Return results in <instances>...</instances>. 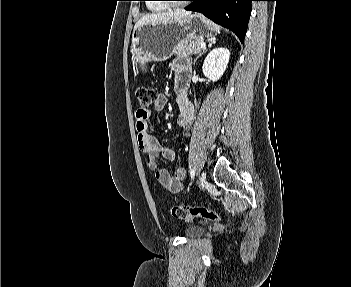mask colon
Returning a JSON list of instances; mask_svg holds the SVG:
<instances>
[{"label": "colon", "mask_w": 351, "mask_h": 287, "mask_svg": "<svg viewBox=\"0 0 351 287\" xmlns=\"http://www.w3.org/2000/svg\"><path fill=\"white\" fill-rule=\"evenodd\" d=\"M156 93L153 89L148 87H138L136 89V98L142 109L148 108L155 100ZM174 218L192 221L195 218H203L206 220H219L221 215L214 211L201 206H182L175 205L171 210Z\"/></svg>", "instance_id": "5ec220e1"}]
</instances>
